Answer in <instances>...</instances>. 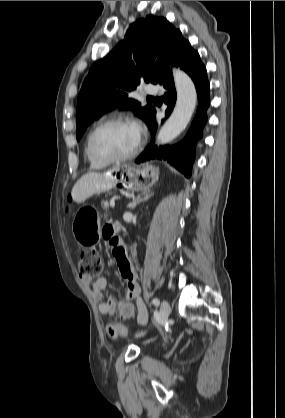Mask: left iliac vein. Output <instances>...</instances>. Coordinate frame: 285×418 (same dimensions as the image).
<instances>
[{
	"label": "left iliac vein",
	"mask_w": 285,
	"mask_h": 418,
	"mask_svg": "<svg viewBox=\"0 0 285 418\" xmlns=\"http://www.w3.org/2000/svg\"><path fill=\"white\" fill-rule=\"evenodd\" d=\"M170 311H171V309H170V305H169L168 301L163 300L160 304V317L163 321H166L168 319V317L170 315ZM143 335H145V332H139V333H137L136 336L141 337Z\"/></svg>",
	"instance_id": "1"
}]
</instances>
